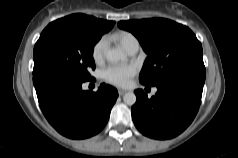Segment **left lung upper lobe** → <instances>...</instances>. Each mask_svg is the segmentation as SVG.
Masks as SVG:
<instances>
[{"mask_svg": "<svg viewBox=\"0 0 238 158\" xmlns=\"http://www.w3.org/2000/svg\"><path fill=\"white\" fill-rule=\"evenodd\" d=\"M121 29L130 31L148 54L139 75L143 85L160 81L191 69H204L202 45L186 26L163 18L120 21Z\"/></svg>", "mask_w": 238, "mask_h": 158, "instance_id": "left-lung-upper-lobe-1", "label": "left lung upper lobe"}]
</instances>
